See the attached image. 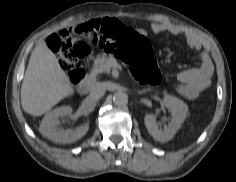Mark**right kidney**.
<instances>
[{
  "mask_svg": "<svg viewBox=\"0 0 236 182\" xmlns=\"http://www.w3.org/2000/svg\"><path fill=\"white\" fill-rule=\"evenodd\" d=\"M70 106L58 107L47 113L39 127L40 133L47 139L56 143H73L81 139L89 130V124H83L76 130L60 129L59 117L71 115Z\"/></svg>",
  "mask_w": 236,
  "mask_h": 182,
  "instance_id": "ca27d5eb",
  "label": "right kidney"
}]
</instances>
